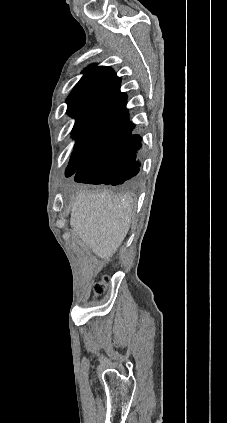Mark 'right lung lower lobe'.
I'll list each match as a JSON object with an SVG mask.
<instances>
[{"label":"right lung lower lobe","mask_w":227,"mask_h":423,"mask_svg":"<svg viewBox=\"0 0 227 423\" xmlns=\"http://www.w3.org/2000/svg\"><path fill=\"white\" fill-rule=\"evenodd\" d=\"M125 104L111 109L106 114V118L124 121L130 125ZM140 141L139 135H131L129 138L95 153L76 171L74 180L86 184L114 186L123 184L139 171L136 153L141 147ZM66 176H68L67 172Z\"/></svg>","instance_id":"right-lung-lower-lobe-1"}]
</instances>
